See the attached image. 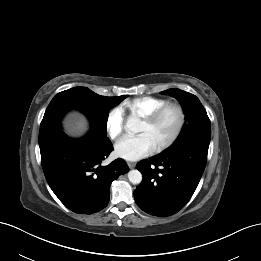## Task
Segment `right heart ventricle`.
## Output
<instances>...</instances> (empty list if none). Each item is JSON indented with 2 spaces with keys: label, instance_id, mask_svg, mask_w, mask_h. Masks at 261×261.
Masks as SVG:
<instances>
[{
  "label": "right heart ventricle",
  "instance_id": "right-heart-ventricle-1",
  "mask_svg": "<svg viewBox=\"0 0 261 261\" xmlns=\"http://www.w3.org/2000/svg\"><path fill=\"white\" fill-rule=\"evenodd\" d=\"M166 103L164 98L143 96L124 101L121 108L130 117L143 118Z\"/></svg>",
  "mask_w": 261,
  "mask_h": 261
}]
</instances>
